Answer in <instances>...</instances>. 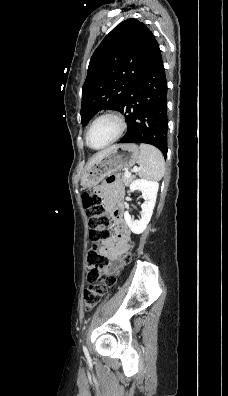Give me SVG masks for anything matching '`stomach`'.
Instances as JSON below:
<instances>
[{
	"instance_id": "0dacf381",
	"label": "stomach",
	"mask_w": 228,
	"mask_h": 396,
	"mask_svg": "<svg viewBox=\"0 0 228 396\" xmlns=\"http://www.w3.org/2000/svg\"><path fill=\"white\" fill-rule=\"evenodd\" d=\"M139 157L140 150L136 144L116 145L111 152L85 169L81 178V184L85 188L94 187L107 175L122 168L133 166L139 160Z\"/></svg>"
}]
</instances>
